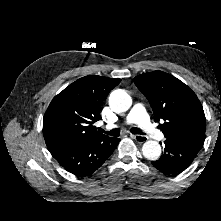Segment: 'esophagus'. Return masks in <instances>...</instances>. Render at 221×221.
<instances>
[{"instance_id": "obj_1", "label": "esophagus", "mask_w": 221, "mask_h": 221, "mask_svg": "<svg viewBox=\"0 0 221 221\" xmlns=\"http://www.w3.org/2000/svg\"><path fill=\"white\" fill-rule=\"evenodd\" d=\"M131 137L138 143H144L147 141V137L143 135H131Z\"/></svg>"}]
</instances>
